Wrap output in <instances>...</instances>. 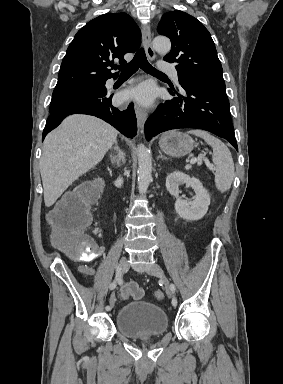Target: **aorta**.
I'll return each instance as SVG.
<instances>
[{"label":"aorta","mask_w":283,"mask_h":384,"mask_svg":"<svg viewBox=\"0 0 283 384\" xmlns=\"http://www.w3.org/2000/svg\"><path fill=\"white\" fill-rule=\"evenodd\" d=\"M153 47L159 54L166 55L171 49V42L166 37L158 36L153 40ZM137 156L138 190L139 193L144 194L152 181V160L148 149L142 144L137 146Z\"/></svg>","instance_id":"obj_1"}]
</instances>
